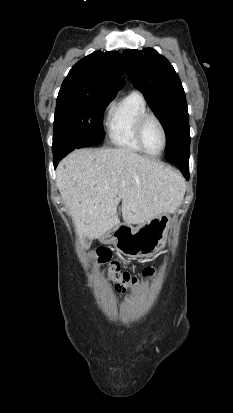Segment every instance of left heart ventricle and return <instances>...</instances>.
Returning a JSON list of instances; mask_svg holds the SVG:
<instances>
[{
    "label": "left heart ventricle",
    "mask_w": 233,
    "mask_h": 413,
    "mask_svg": "<svg viewBox=\"0 0 233 413\" xmlns=\"http://www.w3.org/2000/svg\"><path fill=\"white\" fill-rule=\"evenodd\" d=\"M143 141L146 148L157 153L163 144V135L157 122L153 119L147 120L143 128Z\"/></svg>",
    "instance_id": "1"
}]
</instances>
